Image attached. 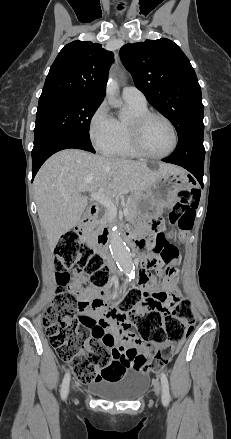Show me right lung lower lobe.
<instances>
[{"instance_id": "1", "label": "right lung lower lobe", "mask_w": 231, "mask_h": 439, "mask_svg": "<svg viewBox=\"0 0 231 439\" xmlns=\"http://www.w3.org/2000/svg\"><path fill=\"white\" fill-rule=\"evenodd\" d=\"M68 148L82 149L95 153L91 143L85 142L75 136L66 134L55 136L46 141L40 147L32 150L33 178L45 160H47L52 154Z\"/></svg>"}]
</instances>
